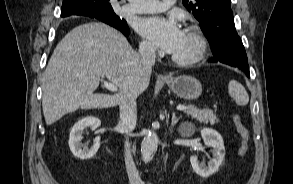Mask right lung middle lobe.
<instances>
[{
    "mask_svg": "<svg viewBox=\"0 0 293 184\" xmlns=\"http://www.w3.org/2000/svg\"><path fill=\"white\" fill-rule=\"evenodd\" d=\"M81 6L96 15H100L106 19L120 20V18L114 13L113 9L107 10L102 4L94 1H82Z\"/></svg>",
    "mask_w": 293,
    "mask_h": 184,
    "instance_id": "obj_1",
    "label": "right lung middle lobe"
}]
</instances>
